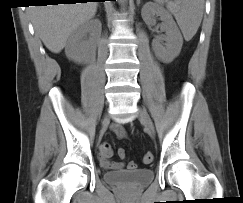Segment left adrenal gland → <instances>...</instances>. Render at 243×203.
<instances>
[{
  "label": "left adrenal gland",
  "instance_id": "a2214340",
  "mask_svg": "<svg viewBox=\"0 0 243 203\" xmlns=\"http://www.w3.org/2000/svg\"><path fill=\"white\" fill-rule=\"evenodd\" d=\"M139 4H140V0H137V5L139 6Z\"/></svg>",
  "mask_w": 243,
  "mask_h": 203
}]
</instances>
